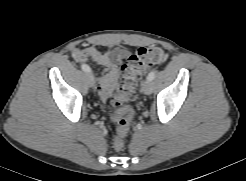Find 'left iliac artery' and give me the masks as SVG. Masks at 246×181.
I'll return each instance as SVG.
<instances>
[{
    "instance_id": "44dca946",
    "label": "left iliac artery",
    "mask_w": 246,
    "mask_h": 181,
    "mask_svg": "<svg viewBox=\"0 0 246 181\" xmlns=\"http://www.w3.org/2000/svg\"><path fill=\"white\" fill-rule=\"evenodd\" d=\"M155 75H156V71L153 70V71H151V72L148 74L147 79H148V80H153V79L155 78Z\"/></svg>"
}]
</instances>
